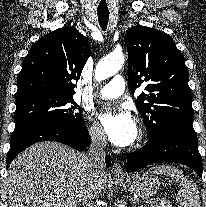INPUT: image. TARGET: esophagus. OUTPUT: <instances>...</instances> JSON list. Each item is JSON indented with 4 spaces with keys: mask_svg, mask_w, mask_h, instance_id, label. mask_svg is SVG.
I'll list each match as a JSON object with an SVG mask.
<instances>
[{
    "mask_svg": "<svg viewBox=\"0 0 206 207\" xmlns=\"http://www.w3.org/2000/svg\"><path fill=\"white\" fill-rule=\"evenodd\" d=\"M111 173L115 177H122L124 175L122 167L118 161H114L111 166Z\"/></svg>",
    "mask_w": 206,
    "mask_h": 207,
    "instance_id": "obj_1",
    "label": "esophagus"
}]
</instances>
